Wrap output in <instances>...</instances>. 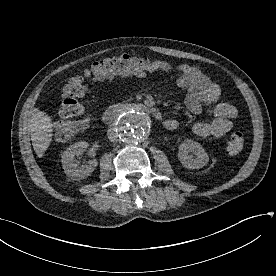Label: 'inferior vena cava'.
<instances>
[{
    "label": "inferior vena cava",
    "mask_w": 276,
    "mask_h": 276,
    "mask_svg": "<svg viewBox=\"0 0 276 276\" xmlns=\"http://www.w3.org/2000/svg\"><path fill=\"white\" fill-rule=\"evenodd\" d=\"M108 139L111 142H116L118 140V132L116 131L115 127H111L108 129Z\"/></svg>",
    "instance_id": "inferior-vena-cava-1"
}]
</instances>
